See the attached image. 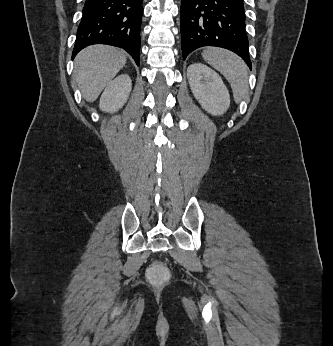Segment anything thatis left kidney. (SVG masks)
<instances>
[{"label":"left kidney","instance_id":"5707ae66","mask_svg":"<svg viewBox=\"0 0 333 346\" xmlns=\"http://www.w3.org/2000/svg\"><path fill=\"white\" fill-rule=\"evenodd\" d=\"M187 76L194 97L205 111L214 116L227 111L230 95L218 73L202 63H193Z\"/></svg>","mask_w":333,"mask_h":346}]
</instances>
